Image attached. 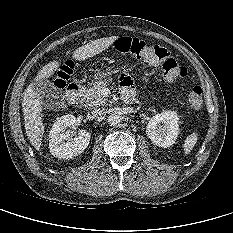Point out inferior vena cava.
Segmentation results:
<instances>
[{
  "label": "inferior vena cava",
  "instance_id": "obj_1",
  "mask_svg": "<svg viewBox=\"0 0 233 233\" xmlns=\"http://www.w3.org/2000/svg\"><path fill=\"white\" fill-rule=\"evenodd\" d=\"M92 114V118L96 121H102L104 120L105 116H106V112L104 109H101V108H98V109H95L91 112Z\"/></svg>",
  "mask_w": 233,
  "mask_h": 233
}]
</instances>
